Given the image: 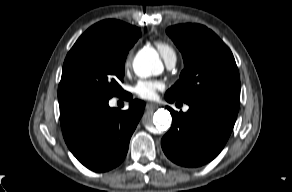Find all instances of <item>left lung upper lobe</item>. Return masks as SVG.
Returning a JSON list of instances; mask_svg holds the SVG:
<instances>
[{
  "instance_id": "left-lung-upper-lobe-1",
  "label": "left lung upper lobe",
  "mask_w": 292,
  "mask_h": 192,
  "mask_svg": "<svg viewBox=\"0 0 292 192\" xmlns=\"http://www.w3.org/2000/svg\"><path fill=\"white\" fill-rule=\"evenodd\" d=\"M184 59L180 79L165 94L177 101L240 102V78L230 49L210 29L199 24L167 28Z\"/></svg>"
}]
</instances>
